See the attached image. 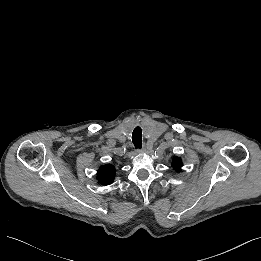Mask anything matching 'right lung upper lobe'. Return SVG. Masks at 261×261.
Wrapping results in <instances>:
<instances>
[{"instance_id":"1","label":"right lung upper lobe","mask_w":261,"mask_h":261,"mask_svg":"<svg viewBox=\"0 0 261 261\" xmlns=\"http://www.w3.org/2000/svg\"><path fill=\"white\" fill-rule=\"evenodd\" d=\"M115 176V168L111 165H104L101 166L98 170V182L103 185H108L113 182Z\"/></svg>"}]
</instances>
